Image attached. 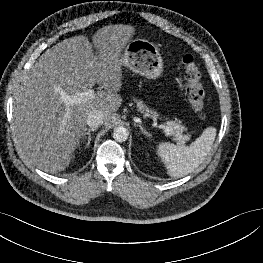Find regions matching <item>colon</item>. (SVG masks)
<instances>
[{
    "mask_svg": "<svg viewBox=\"0 0 263 263\" xmlns=\"http://www.w3.org/2000/svg\"><path fill=\"white\" fill-rule=\"evenodd\" d=\"M182 65L187 82L185 98L197 116L200 119H205V92L201 84V72L193 55L185 54L182 57Z\"/></svg>",
    "mask_w": 263,
    "mask_h": 263,
    "instance_id": "5ec220e1",
    "label": "colon"
}]
</instances>
